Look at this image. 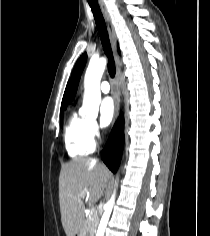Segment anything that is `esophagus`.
<instances>
[{"label": "esophagus", "mask_w": 210, "mask_h": 236, "mask_svg": "<svg viewBox=\"0 0 210 236\" xmlns=\"http://www.w3.org/2000/svg\"><path fill=\"white\" fill-rule=\"evenodd\" d=\"M101 9L107 24V29L109 32L110 40H111V46L114 54V60L116 65V81H115V120L118 118L119 115V104H120V88H121V59L117 50V37L115 28L111 22V18L109 16V13L104 6L103 3H101Z\"/></svg>", "instance_id": "34e87169"}]
</instances>
